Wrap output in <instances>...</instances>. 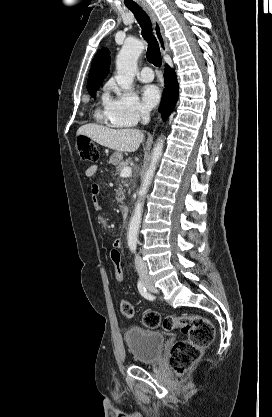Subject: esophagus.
I'll return each instance as SVG.
<instances>
[{"label":"esophagus","mask_w":272,"mask_h":417,"mask_svg":"<svg viewBox=\"0 0 272 417\" xmlns=\"http://www.w3.org/2000/svg\"><path fill=\"white\" fill-rule=\"evenodd\" d=\"M142 8L144 9V11L148 14V16L151 19V22H152V25H153V32H154V35H155V37H156V39L159 43L162 55L167 54L169 52L168 41H167V38L164 34L163 27H162L157 15L155 14L153 9L147 3H143Z\"/></svg>","instance_id":"esophagus-1"}]
</instances>
